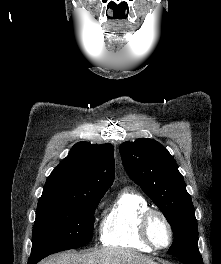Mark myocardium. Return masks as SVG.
Wrapping results in <instances>:
<instances>
[{"label":"myocardium","instance_id":"1","mask_svg":"<svg viewBox=\"0 0 221 264\" xmlns=\"http://www.w3.org/2000/svg\"><path fill=\"white\" fill-rule=\"evenodd\" d=\"M155 216L159 217L164 222L169 232V240L163 246L157 245L153 241L151 234H150L151 220ZM139 234H140L142 241L146 245H148L150 248H152L153 250H163V249L168 248L172 244L173 239H174L173 227L169 219L167 218V216L162 211L158 209H153V208H148L142 213L140 220H139Z\"/></svg>","mask_w":221,"mask_h":264}]
</instances>
